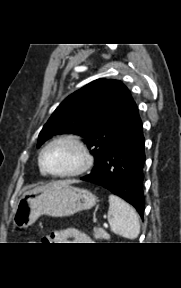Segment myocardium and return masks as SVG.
<instances>
[{
	"mask_svg": "<svg viewBox=\"0 0 181 288\" xmlns=\"http://www.w3.org/2000/svg\"><path fill=\"white\" fill-rule=\"evenodd\" d=\"M57 143H69L73 145L80 153L81 155V163L80 165L73 171L66 172V173H54L47 169V167L44 164V154L46 151L53 145ZM39 166L42 169V171L51 177L55 178H71L75 176H79L83 174L85 171H87L90 166L92 165V156L86 146V144L82 141V139L75 135V134H62L59 135L52 140H50L41 150L39 154Z\"/></svg>",
	"mask_w": 181,
	"mask_h": 288,
	"instance_id": "f54148a6",
	"label": "myocardium"
}]
</instances>
